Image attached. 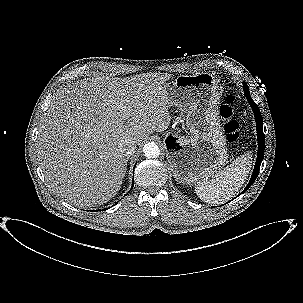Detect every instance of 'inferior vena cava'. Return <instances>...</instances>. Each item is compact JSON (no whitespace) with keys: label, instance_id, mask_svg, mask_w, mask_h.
<instances>
[{"label":"inferior vena cava","instance_id":"inferior-vena-cava-1","mask_svg":"<svg viewBox=\"0 0 303 303\" xmlns=\"http://www.w3.org/2000/svg\"><path fill=\"white\" fill-rule=\"evenodd\" d=\"M120 146L127 157H130L136 150V142L129 137L123 139Z\"/></svg>","mask_w":303,"mask_h":303}]
</instances>
